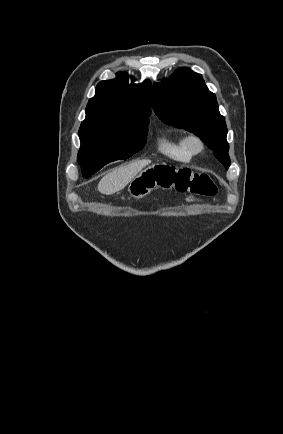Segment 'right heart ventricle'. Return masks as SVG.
I'll return each mask as SVG.
<instances>
[{
  "instance_id": "1",
  "label": "right heart ventricle",
  "mask_w": 283,
  "mask_h": 434,
  "mask_svg": "<svg viewBox=\"0 0 283 434\" xmlns=\"http://www.w3.org/2000/svg\"><path fill=\"white\" fill-rule=\"evenodd\" d=\"M158 150L164 156L178 162H188L191 159V154L187 151L182 136L161 138L158 141Z\"/></svg>"
}]
</instances>
